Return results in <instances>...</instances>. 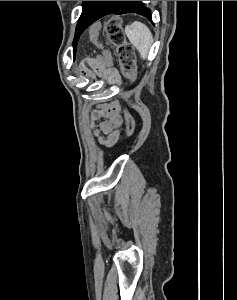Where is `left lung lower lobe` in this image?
<instances>
[{
    "mask_svg": "<svg viewBox=\"0 0 237 300\" xmlns=\"http://www.w3.org/2000/svg\"><path fill=\"white\" fill-rule=\"evenodd\" d=\"M129 12L130 11H128V9L125 8L124 1H109V3L104 7V9L98 15L96 20L108 14H125Z\"/></svg>",
    "mask_w": 237,
    "mask_h": 300,
    "instance_id": "left-lung-lower-lobe-1",
    "label": "left lung lower lobe"
}]
</instances>
